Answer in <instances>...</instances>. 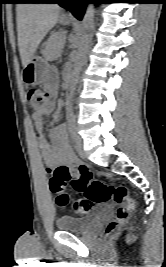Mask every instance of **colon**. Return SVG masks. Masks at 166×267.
Returning a JSON list of instances; mask_svg holds the SVG:
<instances>
[{
    "mask_svg": "<svg viewBox=\"0 0 166 267\" xmlns=\"http://www.w3.org/2000/svg\"><path fill=\"white\" fill-rule=\"evenodd\" d=\"M28 101L33 112L39 113L52 106V94L34 88L28 92ZM68 183L76 191L84 194V198L77 200L72 206L73 212L78 216L88 214L94 204L113 200L119 205L115 219L106 227L107 235L128 222L135 210L136 203L130 197L126 186L108 185L95 179L90 169L84 164H78L76 170L68 166H57L53 170L49 187L51 192L57 195L56 202L62 208L69 205V197L65 193Z\"/></svg>",
    "mask_w": 166,
    "mask_h": 267,
    "instance_id": "colon-1",
    "label": "colon"
}]
</instances>
